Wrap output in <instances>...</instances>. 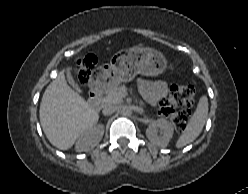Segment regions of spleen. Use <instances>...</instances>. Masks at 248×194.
<instances>
[{
	"mask_svg": "<svg viewBox=\"0 0 248 194\" xmlns=\"http://www.w3.org/2000/svg\"><path fill=\"white\" fill-rule=\"evenodd\" d=\"M208 116V99L203 95L197 105V108L190 118L187 127L182 132L176 143L177 148H182L193 142L201 133Z\"/></svg>",
	"mask_w": 248,
	"mask_h": 194,
	"instance_id": "spleen-1",
	"label": "spleen"
}]
</instances>
